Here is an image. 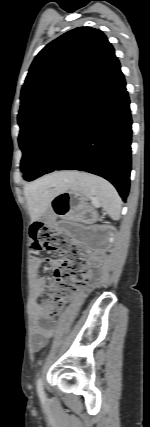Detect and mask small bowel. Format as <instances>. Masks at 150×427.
Wrapping results in <instances>:
<instances>
[{"mask_svg": "<svg viewBox=\"0 0 150 427\" xmlns=\"http://www.w3.org/2000/svg\"><path fill=\"white\" fill-rule=\"evenodd\" d=\"M48 265L52 268H57L60 265V261L57 259H46L45 260ZM43 260L41 258H34L32 260V269L35 274L34 283L35 290L38 295L42 294L46 288V279L43 276L38 274ZM35 327L32 335V349L34 351H38L43 348L48 339L51 338L54 334V328L52 326H48L46 321L49 320L50 313L46 308L39 307L35 310Z\"/></svg>", "mask_w": 150, "mask_h": 427, "instance_id": "obj_1", "label": "small bowel"}]
</instances>
